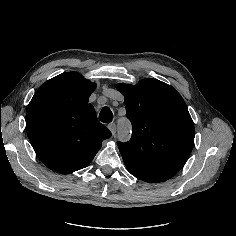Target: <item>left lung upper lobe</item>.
Returning <instances> with one entry per match:
<instances>
[{
    "mask_svg": "<svg viewBox=\"0 0 236 236\" xmlns=\"http://www.w3.org/2000/svg\"><path fill=\"white\" fill-rule=\"evenodd\" d=\"M117 89L133 127L130 141L118 143L128 171L150 183L170 179L194 145V124L183 98L172 86L151 78L135 86L118 84Z\"/></svg>",
    "mask_w": 236,
    "mask_h": 236,
    "instance_id": "1",
    "label": "left lung upper lobe"
}]
</instances>
